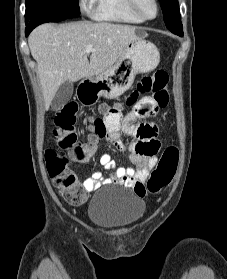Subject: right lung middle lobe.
Listing matches in <instances>:
<instances>
[{"instance_id":"dd1d6c3e","label":"right lung middle lobe","mask_w":227,"mask_h":279,"mask_svg":"<svg viewBox=\"0 0 227 279\" xmlns=\"http://www.w3.org/2000/svg\"><path fill=\"white\" fill-rule=\"evenodd\" d=\"M40 14L66 19L78 17V0H26L25 21Z\"/></svg>"}]
</instances>
